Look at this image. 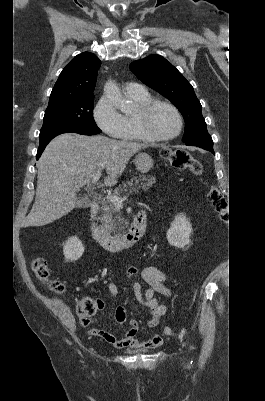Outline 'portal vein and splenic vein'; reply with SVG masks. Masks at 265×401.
<instances>
[{
	"label": "portal vein and splenic vein",
	"instance_id": "18ae733b",
	"mask_svg": "<svg viewBox=\"0 0 265 401\" xmlns=\"http://www.w3.org/2000/svg\"><path fill=\"white\" fill-rule=\"evenodd\" d=\"M100 176H101V172H98V174H95V176H93L92 182H97V180H99ZM127 197H130V194H127V196H123V198H121V196H113V194H111V196H107V198H111L113 205H116V207H122V201H126Z\"/></svg>",
	"mask_w": 265,
	"mask_h": 401
}]
</instances>
